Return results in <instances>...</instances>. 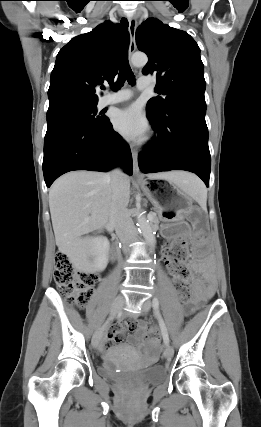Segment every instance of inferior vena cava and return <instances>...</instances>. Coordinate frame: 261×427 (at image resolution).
<instances>
[{
	"instance_id": "obj_1",
	"label": "inferior vena cava",
	"mask_w": 261,
	"mask_h": 427,
	"mask_svg": "<svg viewBox=\"0 0 261 427\" xmlns=\"http://www.w3.org/2000/svg\"><path fill=\"white\" fill-rule=\"evenodd\" d=\"M112 187V202L109 213V223L115 227V231L123 244L124 252H129V244L137 235L133 220L130 217L127 206L130 191L127 176L119 168L110 174Z\"/></svg>"
}]
</instances>
